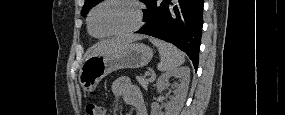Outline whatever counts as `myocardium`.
I'll use <instances>...</instances> for the list:
<instances>
[{"mask_svg": "<svg viewBox=\"0 0 285 115\" xmlns=\"http://www.w3.org/2000/svg\"><path fill=\"white\" fill-rule=\"evenodd\" d=\"M108 2H120L124 4H128L133 8L134 15H135V24L133 27L118 31V32H113V33H107V34H97L92 30V16L94 12L102 5ZM144 23V11H143V6L142 4L137 1V0H104L100 2L99 4L95 5L89 12L88 17H87V26L89 33L98 38H110V37H116V36H123V35H128L135 33L138 31Z\"/></svg>", "mask_w": 285, "mask_h": 115, "instance_id": "obj_1", "label": "myocardium"}]
</instances>
